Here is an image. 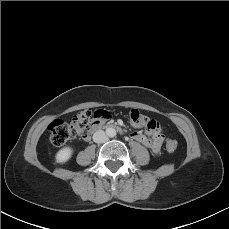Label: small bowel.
<instances>
[{
	"label": "small bowel",
	"instance_id": "c3829d8e",
	"mask_svg": "<svg viewBox=\"0 0 229 229\" xmlns=\"http://www.w3.org/2000/svg\"><path fill=\"white\" fill-rule=\"evenodd\" d=\"M151 137L145 136L142 132L136 131L131 134V137L142 143L144 146L150 148L153 153H158L163 144V138L160 133V129L151 130Z\"/></svg>",
	"mask_w": 229,
	"mask_h": 229
}]
</instances>
